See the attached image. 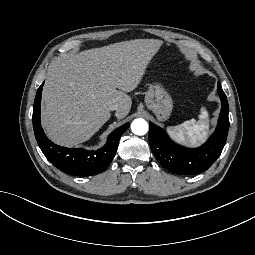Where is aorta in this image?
I'll return each instance as SVG.
<instances>
[{"label":"aorta","mask_w":255,"mask_h":255,"mask_svg":"<svg viewBox=\"0 0 255 255\" xmlns=\"http://www.w3.org/2000/svg\"><path fill=\"white\" fill-rule=\"evenodd\" d=\"M131 130L136 135H144L148 131V123L144 119H135L131 124Z\"/></svg>","instance_id":"aorta-1"}]
</instances>
